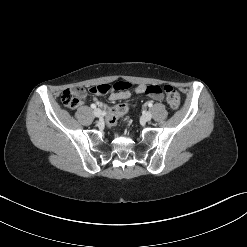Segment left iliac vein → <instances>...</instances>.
Here are the masks:
<instances>
[{"instance_id": "obj_1", "label": "left iliac vein", "mask_w": 247, "mask_h": 247, "mask_svg": "<svg viewBox=\"0 0 247 247\" xmlns=\"http://www.w3.org/2000/svg\"><path fill=\"white\" fill-rule=\"evenodd\" d=\"M142 117L144 121L148 122L151 120L152 114L150 112H145Z\"/></svg>"}]
</instances>
